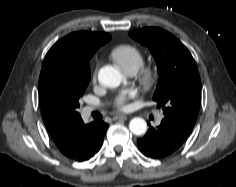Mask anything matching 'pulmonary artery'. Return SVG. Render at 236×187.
I'll use <instances>...</instances> for the list:
<instances>
[{"instance_id":"1","label":"pulmonary artery","mask_w":236,"mask_h":187,"mask_svg":"<svg viewBox=\"0 0 236 187\" xmlns=\"http://www.w3.org/2000/svg\"><path fill=\"white\" fill-rule=\"evenodd\" d=\"M130 75H134V74L132 73V74H130ZM94 109H95V108H94L93 106H87V107H85L84 110H83L84 116H85V117L89 116L90 113H91ZM162 119H163V115H162V114H159V115L157 116V123H160V122L162 121Z\"/></svg>"}]
</instances>
